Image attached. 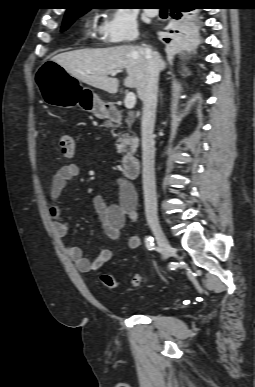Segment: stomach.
<instances>
[{"label":"stomach","instance_id":"0dacf381","mask_svg":"<svg viewBox=\"0 0 255 387\" xmlns=\"http://www.w3.org/2000/svg\"><path fill=\"white\" fill-rule=\"evenodd\" d=\"M36 82L44 101L52 106L70 108L77 105L104 119L108 116L105 103L90 88L84 87L76 78L54 61L37 67Z\"/></svg>","mask_w":255,"mask_h":387}]
</instances>
